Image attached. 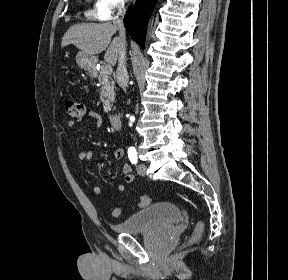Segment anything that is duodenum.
I'll return each mask as SVG.
<instances>
[{
	"mask_svg": "<svg viewBox=\"0 0 288 280\" xmlns=\"http://www.w3.org/2000/svg\"><path fill=\"white\" fill-rule=\"evenodd\" d=\"M108 122L110 124V126L114 129V130H120L121 128V121L120 118L117 114L115 113H111L108 116Z\"/></svg>",
	"mask_w": 288,
	"mask_h": 280,
	"instance_id": "1",
	"label": "duodenum"
}]
</instances>
